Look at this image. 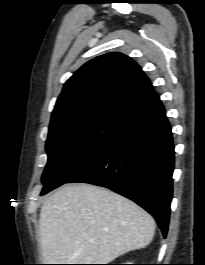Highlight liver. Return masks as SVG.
Returning <instances> with one entry per match:
<instances>
[{
    "label": "liver",
    "instance_id": "6515ba94",
    "mask_svg": "<svg viewBox=\"0 0 205 265\" xmlns=\"http://www.w3.org/2000/svg\"><path fill=\"white\" fill-rule=\"evenodd\" d=\"M39 228L45 264H108L149 245L155 222L119 194L90 184H70L43 202Z\"/></svg>",
    "mask_w": 205,
    "mask_h": 265
}]
</instances>
